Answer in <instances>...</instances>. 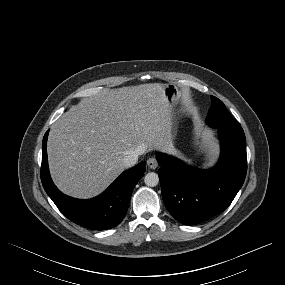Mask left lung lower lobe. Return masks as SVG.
Returning <instances> with one entry per match:
<instances>
[{
	"mask_svg": "<svg viewBox=\"0 0 285 285\" xmlns=\"http://www.w3.org/2000/svg\"><path fill=\"white\" fill-rule=\"evenodd\" d=\"M217 128L222 153L210 170L200 171L166 154L157 155L164 204L182 224H198L223 212L244 183L247 172L244 131L241 126Z\"/></svg>",
	"mask_w": 285,
	"mask_h": 285,
	"instance_id": "1",
	"label": "left lung lower lobe"
}]
</instances>
